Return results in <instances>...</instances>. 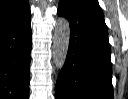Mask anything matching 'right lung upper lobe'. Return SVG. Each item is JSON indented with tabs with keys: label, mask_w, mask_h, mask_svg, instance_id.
Masks as SVG:
<instances>
[{
	"label": "right lung upper lobe",
	"mask_w": 128,
	"mask_h": 99,
	"mask_svg": "<svg viewBox=\"0 0 128 99\" xmlns=\"http://www.w3.org/2000/svg\"><path fill=\"white\" fill-rule=\"evenodd\" d=\"M28 7V0H0V26Z\"/></svg>",
	"instance_id": "obj_1"
}]
</instances>
